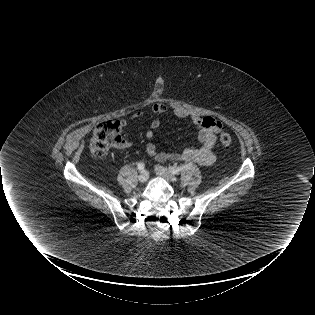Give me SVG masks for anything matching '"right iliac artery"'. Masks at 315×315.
I'll return each mask as SVG.
<instances>
[{
  "label": "right iliac artery",
  "instance_id": "82829eb1",
  "mask_svg": "<svg viewBox=\"0 0 315 315\" xmlns=\"http://www.w3.org/2000/svg\"><path fill=\"white\" fill-rule=\"evenodd\" d=\"M137 168L138 170H143L145 168V164L143 162H139Z\"/></svg>",
  "mask_w": 315,
  "mask_h": 315
}]
</instances>
